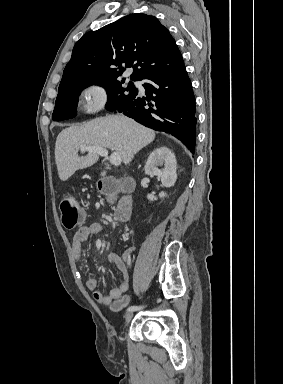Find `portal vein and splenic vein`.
Instances as JSON below:
<instances>
[{"label":"portal vein and splenic vein","mask_w":283,"mask_h":384,"mask_svg":"<svg viewBox=\"0 0 283 384\" xmlns=\"http://www.w3.org/2000/svg\"><path fill=\"white\" fill-rule=\"evenodd\" d=\"M80 150L81 152H96V154L103 156V158L108 156V150H106V148H98V146H87V144H83V146H80ZM110 162L111 164H114V166H120L121 158L117 152H113V154H111Z\"/></svg>","instance_id":"1"}]
</instances>
